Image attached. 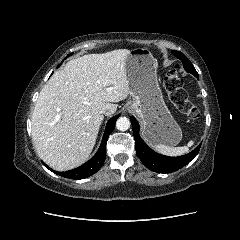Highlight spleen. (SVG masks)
<instances>
[{"label":"spleen","mask_w":240,"mask_h":240,"mask_svg":"<svg viewBox=\"0 0 240 240\" xmlns=\"http://www.w3.org/2000/svg\"><path fill=\"white\" fill-rule=\"evenodd\" d=\"M194 144V141H189L187 146L182 147H170L164 144L154 145V149L167 156H179L187 153L189 151V147H191Z\"/></svg>","instance_id":"3e777b00"}]
</instances>
